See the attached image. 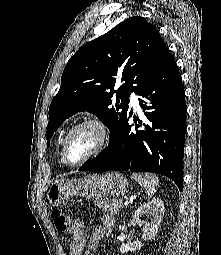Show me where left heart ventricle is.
I'll list each match as a JSON object with an SVG mask.
<instances>
[{"label": "left heart ventricle", "instance_id": "left-heart-ventricle-1", "mask_svg": "<svg viewBox=\"0 0 221 255\" xmlns=\"http://www.w3.org/2000/svg\"><path fill=\"white\" fill-rule=\"evenodd\" d=\"M97 140V132L91 127H85L75 132L66 147L68 161L74 163L82 160L95 148Z\"/></svg>", "mask_w": 221, "mask_h": 255}]
</instances>
